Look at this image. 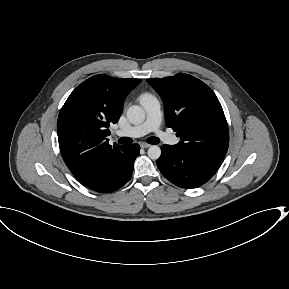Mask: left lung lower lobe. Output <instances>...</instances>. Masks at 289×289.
I'll return each mask as SVG.
<instances>
[{"label": "left lung lower lobe", "instance_id": "left-lung-lower-lobe-1", "mask_svg": "<svg viewBox=\"0 0 289 289\" xmlns=\"http://www.w3.org/2000/svg\"><path fill=\"white\" fill-rule=\"evenodd\" d=\"M157 166L162 175L181 188H196L218 170L221 160L190 152L177 145H163Z\"/></svg>", "mask_w": 289, "mask_h": 289}]
</instances>
